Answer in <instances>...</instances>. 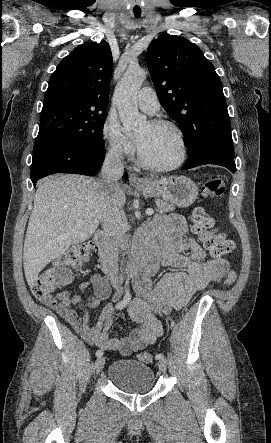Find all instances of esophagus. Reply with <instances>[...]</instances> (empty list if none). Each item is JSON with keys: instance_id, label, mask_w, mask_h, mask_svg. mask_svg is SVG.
Instances as JSON below:
<instances>
[{"instance_id": "1", "label": "esophagus", "mask_w": 271, "mask_h": 443, "mask_svg": "<svg viewBox=\"0 0 271 443\" xmlns=\"http://www.w3.org/2000/svg\"><path fill=\"white\" fill-rule=\"evenodd\" d=\"M129 182L131 185H143L145 184V180L138 177L137 173H131L129 177Z\"/></svg>"}]
</instances>
